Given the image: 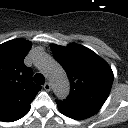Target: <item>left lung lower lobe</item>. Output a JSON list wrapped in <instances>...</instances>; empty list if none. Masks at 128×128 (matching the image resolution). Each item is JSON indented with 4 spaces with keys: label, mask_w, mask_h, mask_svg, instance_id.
Instances as JSON below:
<instances>
[{
    "label": "left lung lower lobe",
    "mask_w": 128,
    "mask_h": 128,
    "mask_svg": "<svg viewBox=\"0 0 128 128\" xmlns=\"http://www.w3.org/2000/svg\"><path fill=\"white\" fill-rule=\"evenodd\" d=\"M58 109L64 115L81 120L96 114L100 108L92 106L77 105L67 101H56Z\"/></svg>",
    "instance_id": "left-lung-lower-lobe-1"
}]
</instances>
